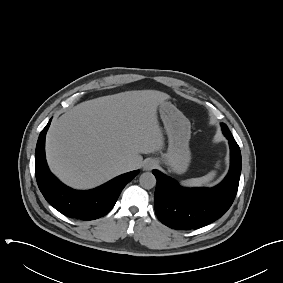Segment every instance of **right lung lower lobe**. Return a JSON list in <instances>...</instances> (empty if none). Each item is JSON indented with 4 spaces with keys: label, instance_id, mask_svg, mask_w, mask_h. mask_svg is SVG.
<instances>
[{
    "label": "right lung lower lobe",
    "instance_id": "obj_1",
    "mask_svg": "<svg viewBox=\"0 0 283 283\" xmlns=\"http://www.w3.org/2000/svg\"><path fill=\"white\" fill-rule=\"evenodd\" d=\"M50 123L51 120L41 131L35 152V175L43 196L50 205L70 218L94 220L106 215L115 205L122 189L139 170L120 175L88 191L65 186L50 172L45 158V136Z\"/></svg>",
    "mask_w": 283,
    "mask_h": 283
}]
</instances>
